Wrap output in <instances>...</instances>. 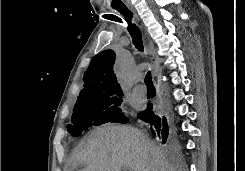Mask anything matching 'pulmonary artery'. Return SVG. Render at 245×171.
<instances>
[{
  "instance_id": "1",
  "label": "pulmonary artery",
  "mask_w": 245,
  "mask_h": 171,
  "mask_svg": "<svg viewBox=\"0 0 245 171\" xmlns=\"http://www.w3.org/2000/svg\"><path fill=\"white\" fill-rule=\"evenodd\" d=\"M133 92L135 95L144 96L146 94V88L142 85H137L134 87Z\"/></svg>"
}]
</instances>
